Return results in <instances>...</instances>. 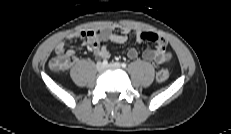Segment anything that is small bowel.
<instances>
[{
  "mask_svg": "<svg viewBox=\"0 0 231 134\" xmlns=\"http://www.w3.org/2000/svg\"><path fill=\"white\" fill-rule=\"evenodd\" d=\"M120 31L117 34L115 31ZM130 35H135L138 42H152L154 48H147L142 52V58L147 62L163 64L170 61L172 54L168 50L167 41L158 33L143 30H133L126 26L106 27L99 30L77 31L66 35L56 46V55H65L70 59V63L76 61V53L73 49L65 51L66 45H70L75 39H81L87 45L96 57L108 59L111 55L109 48L103 43H124ZM130 59H136L139 51L136 48H130L127 52Z\"/></svg>",
  "mask_w": 231,
  "mask_h": 134,
  "instance_id": "1",
  "label": "small bowel"
}]
</instances>
